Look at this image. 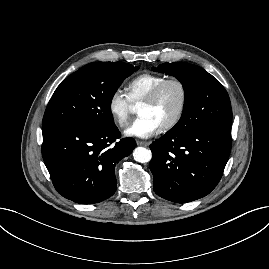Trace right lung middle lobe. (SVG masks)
I'll use <instances>...</instances> for the list:
<instances>
[{"mask_svg": "<svg viewBox=\"0 0 269 269\" xmlns=\"http://www.w3.org/2000/svg\"><path fill=\"white\" fill-rule=\"evenodd\" d=\"M138 69L123 62H93L82 67L57 87L42 126L75 123L98 130L115 126L112 98L122 81Z\"/></svg>", "mask_w": 269, "mask_h": 269, "instance_id": "dd1d6c3e", "label": "right lung middle lobe"}]
</instances>
